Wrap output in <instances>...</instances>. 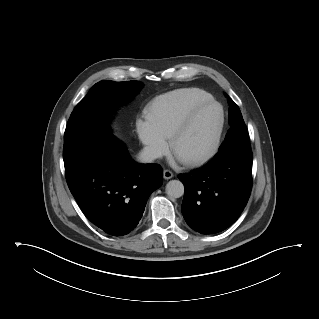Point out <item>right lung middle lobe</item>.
I'll use <instances>...</instances> for the list:
<instances>
[{"instance_id":"right-lung-middle-lobe-1","label":"right lung middle lobe","mask_w":319,"mask_h":319,"mask_svg":"<svg viewBox=\"0 0 319 319\" xmlns=\"http://www.w3.org/2000/svg\"><path fill=\"white\" fill-rule=\"evenodd\" d=\"M139 81H100L74 108L64 134V164L70 166L92 140L109 137L108 117L111 110L140 91Z\"/></svg>"}]
</instances>
